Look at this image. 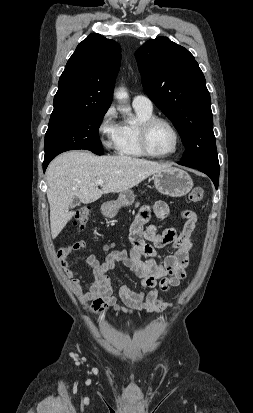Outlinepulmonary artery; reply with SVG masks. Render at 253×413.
I'll return each instance as SVG.
<instances>
[{"mask_svg":"<svg viewBox=\"0 0 253 413\" xmlns=\"http://www.w3.org/2000/svg\"><path fill=\"white\" fill-rule=\"evenodd\" d=\"M134 108H139L143 109L146 111H152L153 110V103L152 101L145 95H136L133 98L132 102Z\"/></svg>","mask_w":253,"mask_h":413,"instance_id":"pulmonary-artery-1","label":"pulmonary artery"}]
</instances>
